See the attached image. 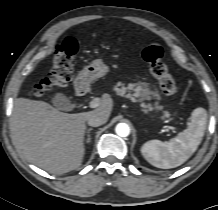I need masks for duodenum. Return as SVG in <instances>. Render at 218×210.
Listing matches in <instances>:
<instances>
[{"mask_svg":"<svg viewBox=\"0 0 218 210\" xmlns=\"http://www.w3.org/2000/svg\"><path fill=\"white\" fill-rule=\"evenodd\" d=\"M75 84L79 95H84L87 92L88 83L83 76L77 78Z\"/></svg>","mask_w":218,"mask_h":210,"instance_id":"410a0bca","label":"duodenum"}]
</instances>
